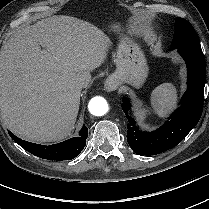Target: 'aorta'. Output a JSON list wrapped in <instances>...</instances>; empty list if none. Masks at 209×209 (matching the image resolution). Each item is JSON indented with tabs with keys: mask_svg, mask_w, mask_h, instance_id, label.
Listing matches in <instances>:
<instances>
[{
	"mask_svg": "<svg viewBox=\"0 0 209 209\" xmlns=\"http://www.w3.org/2000/svg\"><path fill=\"white\" fill-rule=\"evenodd\" d=\"M88 109L94 116H103L108 112L109 107L103 97L95 96L89 101Z\"/></svg>",
	"mask_w": 209,
	"mask_h": 209,
	"instance_id": "1",
	"label": "aorta"
}]
</instances>
